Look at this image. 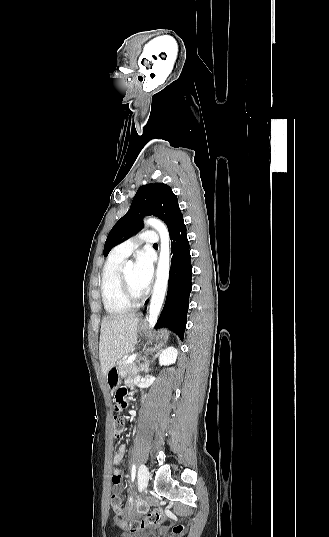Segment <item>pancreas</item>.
<instances>
[{"label":"pancreas","mask_w":329,"mask_h":537,"mask_svg":"<svg viewBox=\"0 0 329 537\" xmlns=\"http://www.w3.org/2000/svg\"><path fill=\"white\" fill-rule=\"evenodd\" d=\"M127 357L121 359L118 363V371L120 376H125L132 368L131 364H127Z\"/></svg>","instance_id":"obj_1"}]
</instances>
